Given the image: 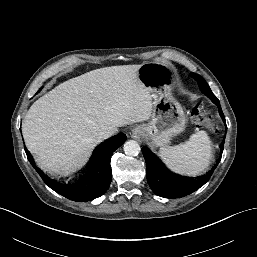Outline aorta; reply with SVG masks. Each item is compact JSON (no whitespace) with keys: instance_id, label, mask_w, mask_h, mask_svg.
<instances>
[{"instance_id":"762f6f07","label":"aorta","mask_w":257,"mask_h":257,"mask_svg":"<svg viewBox=\"0 0 257 257\" xmlns=\"http://www.w3.org/2000/svg\"><path fill=\"white\" fill-rule=\"evenodd\" d=\"M124 152L128 156H136L140 152V146L138 142L129 140L124 143Z\"/></svg>"}]
</instances>
